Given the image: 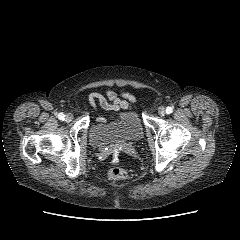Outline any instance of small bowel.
<instances>
[{
    "instance_id": "small-bowel-1",
    "label": "small bowel",
    "mask_w": 240,
    "mask_h": 240,
    "mask_svg": "<svg viewBox=\"0 0 240 240\" xmlns=\"http://www.w3.org/2000/svg\"><path fill=\"white\" fill-rule=\"evenodd\" d=\"M108 100L116 108H128L135 102V97L129 93H118L111 89H107L105 95L98 93H91L89 95V101L93 107L99 104L102 107L108 108L110 107Z\"/></svg>"
}]
</instances>
